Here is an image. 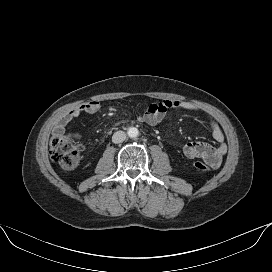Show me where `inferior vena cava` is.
Wrapping results in <instances>:
<instances>
[{"label": "inferior vena cava", "instance_id": "obj_1", "mask_svg": "<svg viewBox=\"0 0 272 272\" xmlns=\"http://www.w3.org/2000/svg\"><path fill=\"white\" fill-rule=\"evenodd\" d=\"M126 139V134L123 131H117L112 136L113 143H121Z\"/></svg>", "mask_w": 272, "mask_h": 272}]
</instances>
